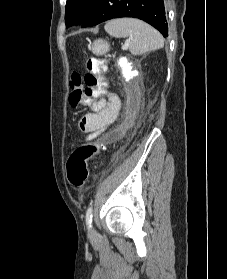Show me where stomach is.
<instances>
[{
  "label": "stomach",
  "mask_w": 227,
  "mask_h": 279,
  "mask_svg": "<svg viewBox=\"0 0 227 279\" xmlns=\"http://www.w3.org/2000/svg\"><path fill=\"white\" fill-rule=\"evenodd\" d=\"M109 49V43L103 39L95 40L90 47V50L97 56L107 53Z\"/></svg>",
  "instance_id": "stomach-1"
}]
</instances>
